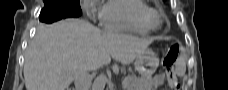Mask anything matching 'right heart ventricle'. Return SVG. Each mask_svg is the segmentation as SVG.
I'll use <instances>...</instances> for the list:
<instances>
[{
	"mask_svg": "<svg viewBox=\"0 0 228 90\" xmlns=\"http://www.w3.org/2000/svg\"><path fill=\"white\" fill-rule=\"evenodd\" d=\"M150 8L143 0H109L101 11V18L107 29L147 34L150 28L145 15Z\"/></svg>",
	"mask_w": 228,
	"mask_h": 90,
	"instance_id": "right-heart-ventricle-1",
	"label": "right heart ventricle"
}]
</instances>
